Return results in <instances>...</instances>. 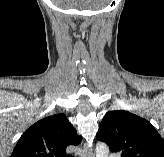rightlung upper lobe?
Wrapping results in <instances>:
<instances>
[{
  "mask_svg": "<svg viewBox=\"0 0 164 157\" xmlns=\"http://www.w3.org/2000/svg\"><path fill=\"white\" fill-rule=\"evenodd\" d=\"M81 139L64 114H55L29 127L10 157H68L66 148Z\"/></svg>",
  "mask_w": 164,
  "mask_h": 157,
  "instance_id": "1",
  "label": "right lung upper lobe"
}]
</instances>
